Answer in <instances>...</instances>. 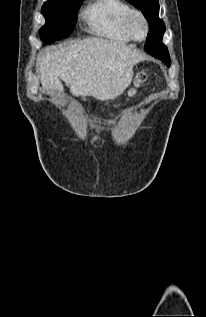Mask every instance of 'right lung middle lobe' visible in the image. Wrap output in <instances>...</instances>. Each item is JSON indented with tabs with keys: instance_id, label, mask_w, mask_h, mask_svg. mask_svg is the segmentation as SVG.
I'll return each instance as SVG.
<instances>
[{
	"instance_id": "1",
	"label": "right lung middle lobe",
	"mask_w": 206,
	"mask_h": 317,
	"mask_svg": "<svg viewBox=\"0 0 206 317\" xmlns=\"http://www.w3.org/2000/svg\"><path fill=\"white\" fill-rule=\"evenodd\" d=\"M83 0H49L42 6L45 25L39 30L45 43L68 37L74 30Z\"/></svg>"
}]
</instances>
